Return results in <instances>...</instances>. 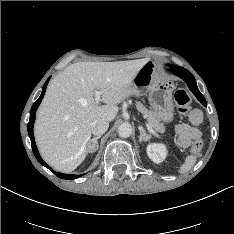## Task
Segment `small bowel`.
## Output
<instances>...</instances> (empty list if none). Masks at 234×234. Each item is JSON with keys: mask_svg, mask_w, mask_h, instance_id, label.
<instances>
[{"mask_svg": "<svg viewBox=\"0 0 234 234\" xmlns=\"http://www.w3.org/2000/svg\"><path fill=\"white\" fill-rule=\"evenodd\" d=\"M202 119V113L199 110H194L189 116V123L177 125V143L179 146L188 147L192 140L201 136L198 126L201 124Z\"/></svg>", "mask_w": 234, "mask_h": 234, "instance_id": "small-bowel-1", "label": "small bowel"}]
</instances>
